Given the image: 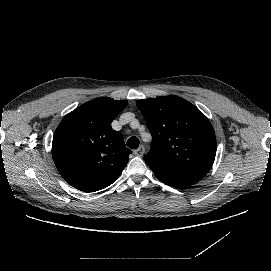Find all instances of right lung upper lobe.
Returning a JSON list of instances; mask_svg holds the SVG:
<instances>
[{
    "instance_id": "right-lung-upper-lobe-1",
    "label": "right lung upper lobe",
    "mask_w": 271,
    "mask_h": 271,
    "mask_svg": "<svg viewBox=\"0 0 271 271\" xmlns=\"http://www.w3.org/2000/svg\"><path fill=\"white\" fill-rule=\"evenodd\" d=\"M128 102L97 98L67 114L57 127L52 155L63 179L76 189L95 192L111 185L131 151L111 122Z\"/></svg>"
}]
</instances>
